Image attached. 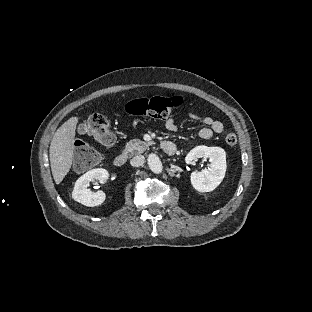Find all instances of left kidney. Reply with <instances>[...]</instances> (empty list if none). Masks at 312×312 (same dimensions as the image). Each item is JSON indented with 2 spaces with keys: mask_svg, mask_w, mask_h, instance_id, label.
<instances>
[{
  "mask_svg": "<svg viewBox=\"0 0 312 312\" xmlns=\"http://www.w3.org/2000/svg\"><path fill=\"white\" fill-rule=\"evenodd\" d=\"M199 158H209L208 169L191 173V184L199 192L214 190L223 180L226 172V153L220 147L196 146L186 156L185 162L194 165Z\"/></svg>",
  "mask_w": 312,
  "mask_h": 312,
  "instance_id": "1",
  "label": "left kidney"
}]
</instances>
